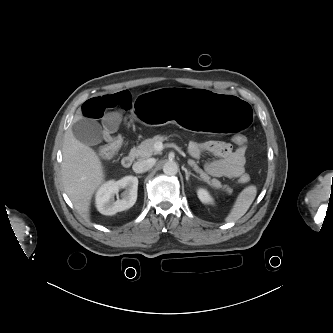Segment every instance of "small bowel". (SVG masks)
Listing matches in <instances>:
<instances>
[{
    "label": "small bowel",
    "instance_id": "c3829d8e",
    "mask_svg": "<svg viewBox=\"0 0 333 333\" xmlns=\"http://www.w3.org/2000/svg\"><path fill=\"white\" fill-rule=\"evenodd\" d=\"M132 107V97L127 91H119L91 98L81 106V113L89 119H102L112 125L116 120L114 110H129ZM246 146L233 149L222 141H208L198 143L192 141L188 145V152L194 158L203 153H210L215 160L205 163V170L214 177L235 178L243 174L246 164Z\"/></svg>",
    "mask_w": 333,
    "mask_h": 333
}]
</instances>
